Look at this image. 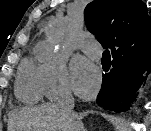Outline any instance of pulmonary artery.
Wrapping results in <instances>:
<instances>
[{
  "mask_svg": "<svg viewBox=\"0 0 151 131\" xmlns=\"http://www.w3.org/2000/svg\"><path fill=\"white\" fill-rule=\"evenodd\" d=\"M86 53L91 55L92 57L96 59L101 58V51L100 49L96 48L91 42H86L83 46Z\"/></svg>",
  "mask_w": 151,
  "mask_h": 131,
  "instance_id": "1",
  "label": "pulmonary artery"
}]
</instances>
